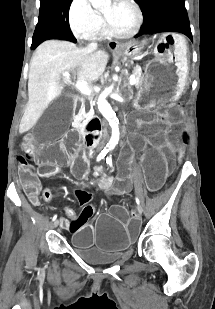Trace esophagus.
<instances>
[{"mask_svg": "<svg viewBox=\"0 0 215 309\" xmlns=\"http://www.w3.org/2000/svg\"><path fill=\"white\" fill-rule=\"evenodd\" d=\"M108 46L110 49L115 50L117 47H120L121 44H119V42H116V40H112V42H109Z\"/></svg>", "mask_w": 215, "mask_h": 309, "instance_id": "1", "label": "esophagus"}]
</instances>
